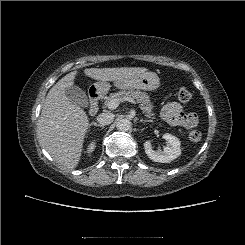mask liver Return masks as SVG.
Returning a JSON list of instances; mask_svg holds the SVG:
<instances>
[{
    "instance_id": "obj_1",
    "label": "liver",
    "mask_w": 245,
    "mask_h": 245,
    "mask_svg": "<svg viewBox=\"0 0 245 245\" xmlns=\"http://www.w3.org/2000/svg\"><path fill=\"white\" fill-rule=\"evenodd\" d=\"M143 67L87 68L84 74L98 81L124 80L146 73ZM77 71L60 79L48 92L38 120L39 141L52 159L65 169L77 167L89 119L85 111L71 102L65 89L73 86Z\"/></svg>"
}]
</instances>
